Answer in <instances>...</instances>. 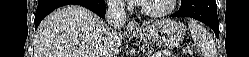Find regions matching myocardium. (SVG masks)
I'll return each instance as SVG.
<instances>
[{"mask_svg":"<svg viewBox=\"0 0 249 57\" xmlns=\"http://www.w3.org/2000/svg\"><path fill=\"white\" fill-rule=\"evenodd\" d=\"M176 2L177 0H169L168 6L165 9L158 10V11H153V10L148 9L144 3L140 4L139 8H140V12L147 17L161 18V17H164L170 14L174 10Z\"/></svg>","mask_w":249,"mask_h":57,"instance_id":"f54148a6","label":"myocardium"}]
</instances>
